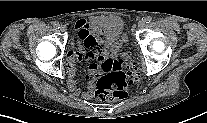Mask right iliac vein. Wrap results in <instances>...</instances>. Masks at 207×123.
I'll return each mask as SVG.
<instances>
[{
  "mask_svg": "<svg viewBox=\"0 0 207 123\" xmlns=\"http://www.w3.org/2000/svg\"><path fill=\"white\" fill-rule=\"evenodd\" d=\"M66 30H67V29H66V27H65L64 25H61V26H60V31H61V32H65Z\"/></svg>",
  "mask_w": 207,
  "mask_h": 123,
  "instance_id": "63e3f726",
  "label": "right iliac vein"
}]
</instances>
